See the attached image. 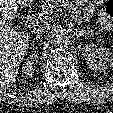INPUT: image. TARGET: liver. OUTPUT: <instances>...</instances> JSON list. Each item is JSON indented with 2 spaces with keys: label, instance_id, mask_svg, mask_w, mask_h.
Masks as SVG:
<instances>
[{
  "label": "liver",
  "instance_id": "obj_1",
  "mask_svg": "<svg viewBox=\"0 0 113 113\" xmlns=\"http://www.w3.org/2000/svg\"><path fill=\"white\" fill-rule=\"evenodd\" d=\"M31 2L0 0V90L10 89L15 83L29 40V34L17 32L10 21L16 16L18 5L24 7Z\"/></svg>",
  "mask_w": 113,
  "mask_h": 113
}]
</instances>
